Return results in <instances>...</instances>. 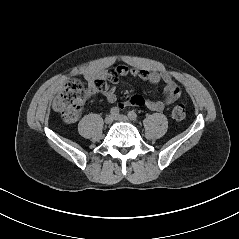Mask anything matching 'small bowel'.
I'll list each match as a JSON object with an SVG mask.
<instances>
[{
	"label": "small bowel",
	"mask_w": 239,
	"mask_h": 239,
	"mask_svg": "<svg viewBox=\"0 0 239 239\" xmlns=\"http://www.w3.org/2000/svg\"><path fill=\"white\" fill-rule=\"evenodd\" d=\"M130 75L134 78L142 81H147L151 84H163V100L145 99L139 95L132 96L128 103L131 105L144 106L151 111H162L167 106L176 102L181 96V89L177 83L172 79L169 74L160 72H150L146 69L129 68L124 65L117 66L113 71L104 73H88L85 78L89 84V90L91 94L101 93L107 101L113 103L117 100L116 89L112 85H108L106 82L105 88L99 90L96 86V82L99 79H107L111 84H115L119 78ZM124 104H119V108H123Z\"/></svg>",
	"instance_id": "obj_1"
}]
</instances>
